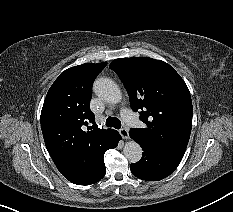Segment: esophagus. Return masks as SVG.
Wrapping results in <instances>:
<instances>
[{"mask_svg":"<svg viewBox=\"0 0 233 212\" xmlns=\"http://www.w3.org/2000/svg\"><path fill=\"white\" fill-rule=\"evenodd\" d=\"M119 133L124 139H129V131L126 128L120 129Z\"/></svg>","mask_w":233,"mask_h":212,"instance_id":"1","label":"esophagus"}]
</instances>
